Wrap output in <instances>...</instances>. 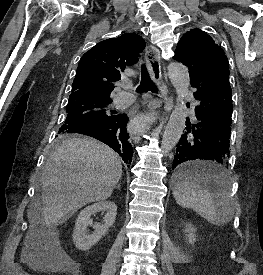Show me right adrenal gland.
Listing matches in <instances>:
<instances>
[{"instance_id": "right-adrenal-gland-1", "label": "right adrenal gland", "mask_w": 263, "mask_h": 275, "mask_svg": "<svg viewBox=\"0 0 263 275\" xmlns=\"http://www.w3.org/2000/svg\"><path fill=\"white\" fill-rule=\"evenodd\" d=\"M116 189L120 190V184H118V185L116 186Z\"/></svg>"}]
</instances>
